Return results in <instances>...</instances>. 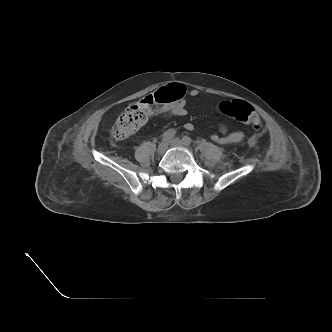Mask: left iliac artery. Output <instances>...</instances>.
Segmentation results:
<instances>
[{"label":"left iliac artery","mask_w":332,"mask_h":332,"mask_svg":"<svg viewBox=\"0 0 332 332\" xmlns=\"http://www.w3.org/2000/svg\"><path fill=\"white\" fill-rule=\"evenodd\" d=\"M182 141H183L186 145H190V144L192 143L191 138L188 137V136H184V137L182 138Z\"/></svg>","instance_id":"44dca946"}]
</instances>
